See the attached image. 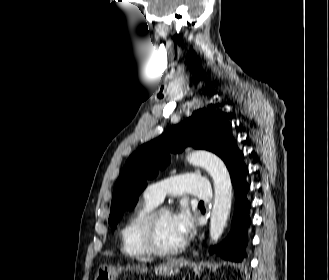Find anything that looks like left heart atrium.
<instances>
[{"label":"left heart atrium","instance_id":"1","mask_svg":"<svg viewBox=\"0 0 329 280\" xmlns=\"http://www.w3.org/2000/svg\"><path fill=\"white\" fill-rule=\"evenodd\" d=\"M176 229L182 240L188 239L195 227V221L187 208H181L172 214Z\"/></svg>","mask_w":329,"mask_h":280}]
</instances>
